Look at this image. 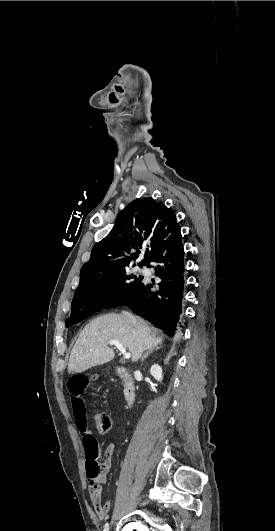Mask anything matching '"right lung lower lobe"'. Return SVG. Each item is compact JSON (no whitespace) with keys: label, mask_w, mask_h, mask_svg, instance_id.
<instances>
[{"label":"right lung lower lobe","mask_w":275,"mask_h":531,"mask_svg":"<svg viewBox=\"0 0 275 531\" xmlns=\"http://www.w3.org/2000/svg\"><path fill=\"white\" fill-rule=\"evenodd\" d=\"M180 228L177 227L151 257L156 263L155 275L161 279L153 285L140 282L121 305L173 336L180 328L181 303L184 286V250Z\"/></svg>","instance_id":"98d812e1"}]
</instances>
